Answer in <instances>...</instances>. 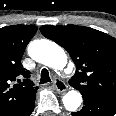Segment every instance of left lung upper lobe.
Returning a JSON list of instances; mask_svg holds the SVG:
<instances>
[{
    "instance_id": "1",
    "label": "left lung upper lobe",
    "mask_w": 116,
    "mask_h": 116,
    "mask_svg": "<svg viewBox=\"0 0 116 116\" xmlns=\"http://www.w3.org/2000/svg\"><path fill=\"white\" fill-rule=\"evenodd\" d=\"M41 33L62 46L76 64L69 84L82 96L116 99V39L76 25H44Z\"/></svg>"
}]
</instances>
